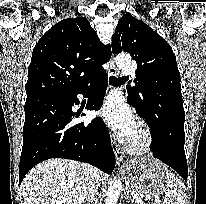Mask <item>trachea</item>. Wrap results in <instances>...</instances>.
<instances>
[{"mask_svg":"<svg viewBox=\"0 0 206 204\" xmlns=\"http://www.w3.org/2000/svg\"><path fill=\"white\" fill-rule=\"evenodd\" d=\"M109 82H110L111 84L116 85V84L121 83V82H122V79H121V78H116V77H114V76H111V77L109 78Z\"/></svg>","mask_w":206,"mask_h":204,"instance_id":"trachea-1","label":"trachea"}]
</instances>
